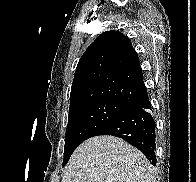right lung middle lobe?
Here are the masks:
<instances>
[{
    "label": "right lung middle lobe",
    "instance_id": "obj_1",
    "mask_svg": "<svg viewBox=\"0 0 196 182\" xmlns=\"http://www.w3.org/2000/svg\"><path fill=\"white\" fill-rule=\"evenodd\" d=\"M132 105L111 100H99L69 110L65 133L63 166L73 151L107 123L128 111Z\"/></svg>",
    "mask_w": 196,
    "mask_h": 182
}]
</instances>
